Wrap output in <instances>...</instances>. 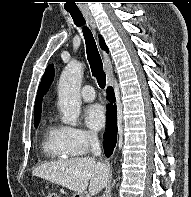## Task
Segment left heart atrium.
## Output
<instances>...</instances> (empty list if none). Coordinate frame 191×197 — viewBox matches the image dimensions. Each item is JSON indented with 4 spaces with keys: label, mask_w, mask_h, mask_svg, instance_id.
I'll return each mask as SVG.
<instances>
[{
    "label": "left heart atrium",
    "mask_w": 191,
    "mask_h": 197,
    "mask_svg": "<svg viewBox=\"0 0 191 197\" xmlns=\"http://www.w3.org/2000/svg\"><path fill=\"white\" fill-rule=\"evenodd\" d=\"M86 125L92 131H99L105 124V112L102 106L98 104L90 105L84 112Z\"/></svg>",
    "instance_id": "39dd6f15"
}]
</instances>
